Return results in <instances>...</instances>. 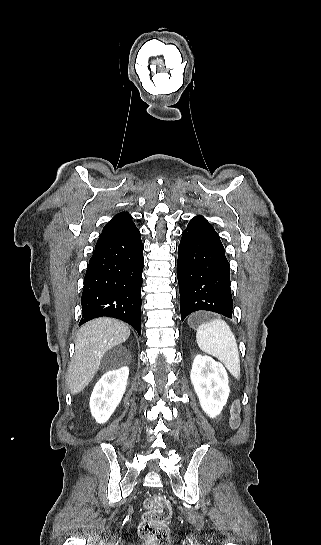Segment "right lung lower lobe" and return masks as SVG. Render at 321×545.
Listing matches in <instances>:
<instances>
[{
  "label": "right lung lower lobe",
  "mask_w": 321,
  "mask_h": 545,
  "mask_svg": "<svg viewBox=\"0 0 321 545\" xmlns=\"http://www.w3.org/2000/svg\"><path fill=\"white\" fill-rule=\"evenodd\" d=\"M143 267V244L135 224L99 237L85 274L79 325L114 317L140 335Z\"/></svg>",
  "instance_id": "98d812e1"
}]
</instances>
